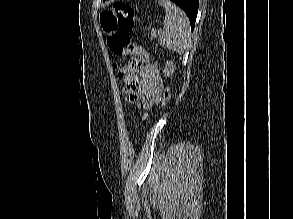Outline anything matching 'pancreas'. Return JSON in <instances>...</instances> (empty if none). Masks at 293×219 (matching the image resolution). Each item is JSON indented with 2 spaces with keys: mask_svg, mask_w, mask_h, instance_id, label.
I'll return each instance as SVG.
<instances>
[{
  "mask_svg": "<svg viewBox=\"0 0 293 219\" xmlns=\"http://www.w3.org/2000/svg\"><path fill=\"white\" fill-rule=\"evenodd\" d=\"M151 36H152V38H156V37H157V33H156V31H152V32H151Z\"/></svg>",
  "mask_w": 293,
  "mask_h": 219,
  "instance_id": "cf45deb5",
  "label": "pancreas"
}]
</instances>
